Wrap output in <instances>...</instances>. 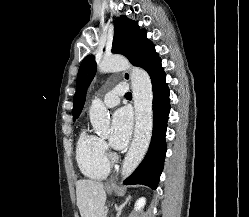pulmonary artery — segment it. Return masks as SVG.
<instances>
[{"mask_svg":"<svg viewBox=\"0 0 249 217\" xmlns=\"http://www.w3.org/2000/svg\"><path fill=\"white\" fill-rule=\"evenodd\" d=\"M125 91H126V84L120 83L114 89L105 94L104 104L107 107L116 106L119 103L120 97L125 93Z\"/></svg>","mask_w":249,"mask_h":217,"instance_id":"e3ab8cb5","label":"pulmonary artery"}]
</instances>
